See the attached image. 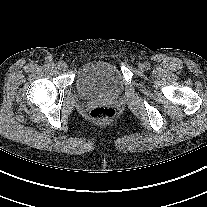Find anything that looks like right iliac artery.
Instances as JSON below:
<instances>
[{"label":"right iliac artery","mask_w":207,"mask_h":207,"mask_svg":"<svg viewBox=\"0 0 207 207\" xmlns=\"http://www.w3.org/2000/svg\"><path fill=\"white\" fill-rule=\"evenodd\" d=\"M63 61H59L58 62V68H60V66L62 65Z\"/></svg>","instance_id":"82829eb1"}]
</instances>
